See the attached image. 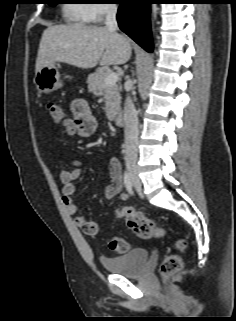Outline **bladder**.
<instances>
[{"label": "bladder", "mask_w": 236, "mask_h": 321, "mask_svg": "<svg viewBox=\"0 0 236 321\" xmlns=\"http://www.w3.org/2000/svg\"><path fill=\"white\" fill-rule=\"evenodd\" d=\"M149 259L148 250L135 248L123 255L115 257H101L103 267L114 274L133 277L140 275Z\"/></svg>", "instance_id": "bladder-1"}]
</instances>
